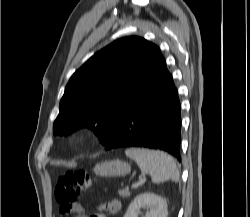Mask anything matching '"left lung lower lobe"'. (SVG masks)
<instances>
[{
	"instance_id": "left-lung-lower-lobe-1",
	"label": "left lung lower lobe",
	"mask_w": 250,
	"mask_h": 217,
	"mask_svg": "<svg viewBox=\"0 0 250 217\" xmlns=\"http://www.w3.org/2000/svg\"><path fill=\"white\" fill-rule=\"evenodd\" d=\"M181 112L177 89L161 52L117 117L107 149L144 147L180 161Z\"/></svg>"
}]
</instances>
